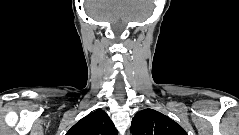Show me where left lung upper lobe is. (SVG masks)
<instances>
[{
    "label": "left lung upper lobe",
    "instance_id": "left-lung-upper-lobe-1",
    "mask_svg": "<svg viewBox=\"0 0 239 135\" xmlns=\"http://www.w3.org/2000/svg\"><path fill=\"white\" fill-rule=\"evenodd\" d=\"M130 131L134 135H187L179 124L153 109L139 111L132 120Z\"/></svg>",
    "mask_w": 239,
    "mask_h": 135
}]
</instances>
